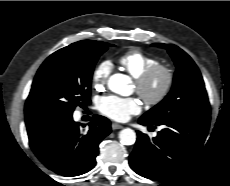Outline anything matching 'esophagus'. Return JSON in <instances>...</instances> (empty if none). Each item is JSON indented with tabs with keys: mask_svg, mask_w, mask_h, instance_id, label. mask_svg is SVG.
<instances>
[{
	"mask_svg": "<svg viewBox=\"0 0 230 186\" xmlns=\"http://www.w3.org/2000/svg\"><path fill=\"white\" fill-rule=\"evenodd\" d=\"M111 127H112L113 130H117V129H122L123 128V126L120 125V124H118V123H113L111 125Z\"/></svg>",
	"mask_w": 230,
	"mask_h": 186,
	"instance_id": "34e87169",
	"label": "esophagus"
}]
</instances>
